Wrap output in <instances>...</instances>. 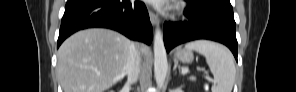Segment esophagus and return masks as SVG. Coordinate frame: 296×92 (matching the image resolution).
I'll return each mask as SVG.
<instances>
[{
  "instance_id": "1",
  "label": "esophagus",
  "mask_w": 296,
  "mask_h": 92,
  "mask_svg": "<svg viewBox=\"0 0 296 92\" xmlns=\"http://www.w3.org/2000/svg\"><path fill=\"white\" fill-rule=\"evenodd\" d=\"M149 17H150V21H151L152 25H154V26L159 25V19H158L157 15L151 10H149Z\"/></svg>"
}]
</instances>
